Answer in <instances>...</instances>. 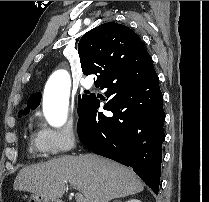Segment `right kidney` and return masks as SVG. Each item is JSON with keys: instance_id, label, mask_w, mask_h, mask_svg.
<instances>
[{"instance_id": "right-kidney-1", "label": "right kidney", "mask_w": 209, "mask_h": 202, "mask_svg": "<svg viewBox=\"0 0 209 202\" xmlns=\"http://www.w3.org/2000/svg\"><path fill=\"white\" fill-rule=\"evenodd\" d=\"M113 202H122V201H120V200H115V201H113ZM127 202H141V201L138 200V199H131V200H128Z\"/></svg>"}]
</instances>
